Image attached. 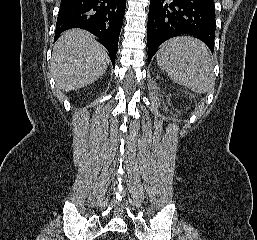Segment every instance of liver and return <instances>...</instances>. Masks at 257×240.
Returning <instances> with one entry per match:
<instances>
[{
  "label": "liver",
  "mask_w": 257,
  "mask_h": 240,
  "mask_svg": "<svg viewBox=\"0 0 257 240\" xmlns=\"http://www.w3.org/2000/svg\"><path fill=\"white\" fill-rule=\"evenodd\" d=\"M110 59L106 49L87 31L71 29L55 43L51 70L56 86L65 91L85 87L98 80Z\"/></svg>",
  "instance_id": "6515ba94"
}]
</instances>
